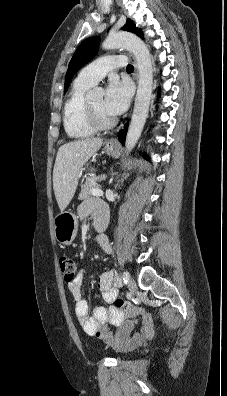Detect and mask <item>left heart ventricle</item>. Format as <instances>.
Here are the masks:
<instances>
[{"label":"left heart ventricle","instance_id":"left-heart-ventricle-1","mask_svg":"<svg viewBox=\"0 0 227 396\" xmlns=\"http://www.w3.org/2000/svg\"><path fill=\"white\" fill-rule=\"evenodd\" d=\"M94 109L104 118H110L111 116L105 111L103 106V98L95 97L89 100Z\"/></svg>","mask_w":227,"mask_h":396}]
</instances>
